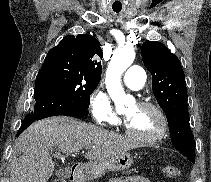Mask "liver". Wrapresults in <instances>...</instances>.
Returning <instances> with one entry per match:
<instances>
[{
    "instance_id": "liver-1",
    "label": "liver",
    "mask_w": 211,
    "mask_h": 182,
    "mask_svg": "<svg viewBox=\"0 0 211 182\" xmlns=\"http://www.w3.org/2000/svg\"><path fill=\"white\" fill-rule=\"evenodd\" d=\"M92 147L85 158L103 161L137 145L114 132L65 116L33 123L17 139L10 164V182H47L54 172L53 157ZM94 147V148H93ZM53 148L57 152H51Z\"/></svg>"
}]
</instances>
